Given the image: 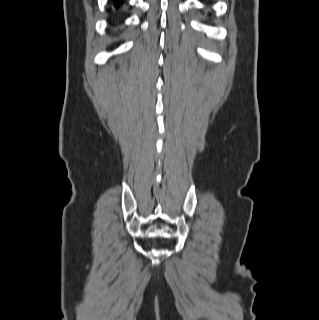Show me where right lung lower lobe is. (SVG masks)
I'll use <instances>...</instances> for the list:
<instances>
[{
	"instance_id": "1",
	"label": "right lung lower lobe",
	"mask_w": 319,
	"mask_h": 320,
	"mask_svg": "<svg viewBox=\"0 0 319 320\" xmlns=\"http://www.w3.org/2000/svg\"><path fill=\"white\" fill-rule=\"evenodd\" d=\"M112 1L116 8H118L124 2V0H112Z\"/></svg>"
}]
</instances>
